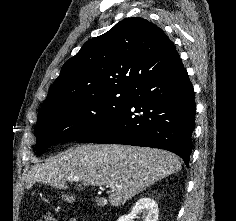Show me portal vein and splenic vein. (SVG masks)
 <instances>
[{
    "label": "portal vein and splenic vein",
    "mask_w": 236,
    "mask_h": 221,
    "mask_svg": "<svg viewBox=\"0 0 236 221\" xmlns=\"http://www.w3.org/2000/svg\"><path fill=\"white\" fill-rule=\"evenodd\" d=\"M69 180H71V181H76L77 179H76V178H70ZM106 187H107V188H110V189H112V190L115 188V186H114L113 184L107 185Z\"/></svg>",
    "instance_id": "portal-vein-and-splenic-vein-1"
}]
</instances>
